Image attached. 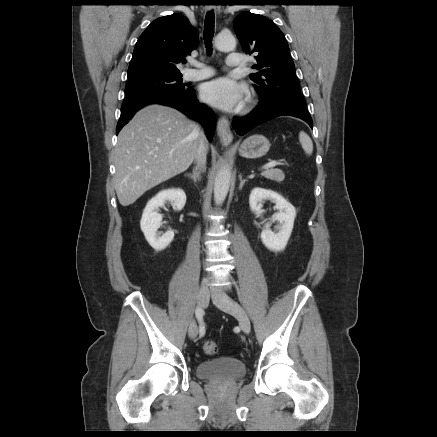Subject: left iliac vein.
I'll use <instances>...</instances> for the list:
<instances>
[{
    "instance_id": "left-iliac-vein-1",
    "label": "left iliac vein",
    "mask_w": 437,
    "mask_h": 437,
    "mask_svg": "<svg viewBox=\"0 0 437 437\" xmlns=\"http://www.w3.org/2000/svg\"><path fill=\"white\" fill-rule=\"evenodd\" d=\"M213 303L221 310L232 314L238 321L241 329L246 333H250V320L248 318L245 310L234 300H232L228 295L222 291H216L212 293Z\"/></svg>"
}]
</instances>
